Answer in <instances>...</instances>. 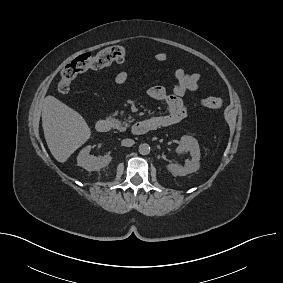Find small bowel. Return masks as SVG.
Returning <instances> with one entry per match:
<instances>
[{"instance_id": "small-bowel-1", "label": "small bowel", "mask_w": 283, "mask_h": 283, "mask_svg": "<svg viewBox=\"0 0 283 283\" xmlns=\"http://www.w3.org/2000/svg\"><path fill=\"white\" fill-rule=\"evenodd\" d=\"M168 56L164 52L156 53L153 60L158 63L165 62ZM129 77L127 70H122L114 77L117 85L124 84ZM176 83L173 93H168L165 87L155 85L147 90V95L157 101H162L167 105V113L151 117L158 123V127H167L179 123L187 116V106L184 96L188 91H197L199 89L200 75L197 73H188L183 68H178L174 72Z\"/></svg>"}]
</instances>
